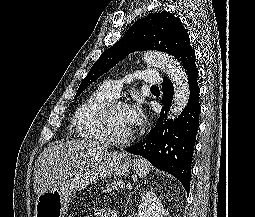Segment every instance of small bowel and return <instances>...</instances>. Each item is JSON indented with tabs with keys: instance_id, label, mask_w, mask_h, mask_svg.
Wrapping results in <instances>:
<instances>
[{
	"instance_id": "1",
	"label": "small bowel",
	"mask_w": 255,
	"mask_h": 217,
	"mask_svg": "<svg viewBox=\"0 0 255 217\" xmlns=\"http://www.w3.org/2000/svg\"><path fill=\"white\" fill-rule=\"evenodd\" d=\"M94 217H118V215L113 210L101 209L95 213Z\"/></svg>"
}]
</instances>
